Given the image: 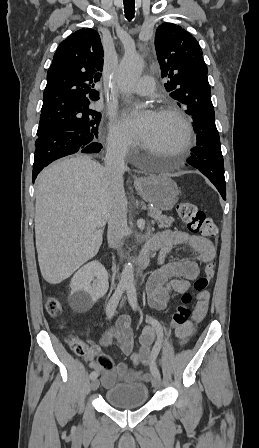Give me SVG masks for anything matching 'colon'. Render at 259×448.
I'll return each instance as SVG.
<instances>
[{
    "label": "colon",
    "instance_id": "1",
    "mask_svg": "<svg viewBox=\"0 0 259 448\" xmlns=\"http://www.w3.org/2000/svg\"><path fill=\"white\" fill-rule=\"evenodd\" d=\"M177 213L181 220L187 225L188 229L205 237H215L218 234V228L213 220L199 210L196 205L187 201H180L176 205ZM215 274L214 263L210 262L206 265L204 274L197 278L194 283V289L198 292L208 288ZM193 295L185 292L181 296L179 305L172 314L170 327L177 328L185 326L191 317L190 304ZM46 311L53 318H59L64 311L63 304L56 297H49L45 304ZM68 343L71 349L78 355L85 356L88 352L86 344L78 337H70ZM133 364H139L141 357L139 353L131 355Z\"/></svg>",
    "mask_w": 259,
    "mask_h": 448
}]
</instances>
